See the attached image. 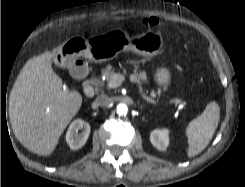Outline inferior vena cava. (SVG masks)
Returning a JSON list of instances; mask_svg holds the SVG:
<instances>
[{"label": "inferior vena cava", "mask_w": 245, "mask_h": 187, "mask_svg": "<svg viewBox=\"0 0 245 187\" xmlns=\"http://www.w3.org/2000/svg\"><path fill=\"white\" fill-rule=\"evenodd\" d=\"M95 103L97 106L105 107V106L109 105L110 98L107 95L102 94L96 98Z\"/></svg>", "instance_id": "1"}]
</instances>
